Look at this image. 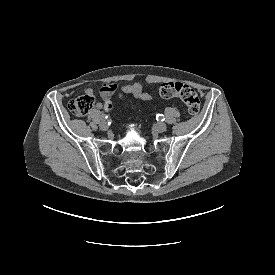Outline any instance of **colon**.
<instances>
[{"instance_id": "1", "label": "colon", "mask_w": 275, "mask_h": 275, "mask_svg": "<svg viewBox=\"0 0 275 275\" xmlns=\"http://www.w3.org/2000/svg\"><path fill=\"white\" fill-rule=\"evenodd\" d=\"M157 93L164 99L179 98L186 106L187 111L191 115H195L200 110V99L196 91L188 84L180 81L162 83ZM93 95H84L76 97L69 101L68 109L75 116L86 115L94 105ZM106 110L113 107V102L108 99L104 102Z\"/></svg>"}]
</instances>
